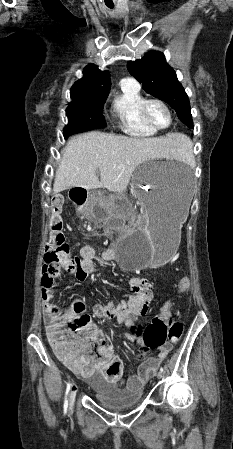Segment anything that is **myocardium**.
Returning <instances> with one entry per match:
<instances>
[{"label":"myocardium","mask_w":233,"mask_h":449,"mask_svg":"<svg viewBox=\"0 0 233 449\" xmlns=\"http://www.w3.org/2000/svg\"><path fill=\"white\" fill-rule=\"evenodd\" d=\"M153 103H157L159 105H161L166 112L168 113V117H169V121L167 123L166 126L163 127H159L156 126L149 118L148 116V108L151 104ZM140 115L142 120L153 130L155 131H160V130H164L167 129L171 126L172 122H173V115H172V111L170 109V107L167 105L166 102H164L163 100L159 99V98H150V99H145L144 102L141 105L140 108Z\"/></svg>","instance_id":"myocardium-1"}]
</instances>
